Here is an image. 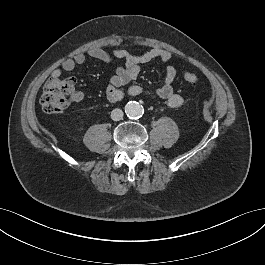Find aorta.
Listing matches in <instances>:
<instances>
[{
  "label": "aorta",
  "instance_id": "obj_1",
  "mask_svg": "<svg viewBox=\"0 0 265 265\" xmlns=\"http://www.w3.org/2000/svg\"><path fill=\"white\" fill-rule=\"evenodd\" d=\"M125 113L129 118H137L143 114V107L136 101H130L125 106Z\"/></svg>",
  "mask_w": 265,
  "mask_h": 265
}]
</instances>
